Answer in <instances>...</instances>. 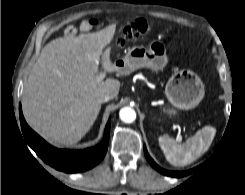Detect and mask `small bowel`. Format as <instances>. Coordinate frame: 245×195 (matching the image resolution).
Masks as SVG:
<instances>
[{
	"instance_id": "obj_1",
	"label": "small bowel",
	"mask_w": 245,
	"mask_h": 195,
	"mask_svg": "<svg viewBox=\"0 0 245 195\" xmlns=\"http://www.w3.org/2000/svg\"><path fill=\"white\" fill-rule=\"evenodd\" d=\"M100 25V21L96 18H87L80 23L79 29L81 31H90ZM65 35L73 37L78 33V28L74 25H69L65 28Z\"/></svg>"
}]
</instances>
